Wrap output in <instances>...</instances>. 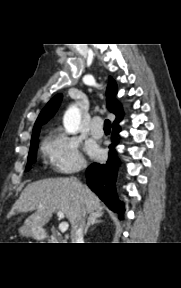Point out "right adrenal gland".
I'll return each instance as SVG.
<instances>
[{
  "label": "right adrenal gland",
  "mask_w": 181,
  "mask_h": 288,
  "mask_svg": "<svg viewBox=\"0 0 181 288\" xmlns=\"http://www.w3.org/2000/svg\"><path fill=\"white\" fill-rule=\"evenodd\" d=\"M103 214H104V212L102 211V209H99L89 216L87 225H86L85 230H84V235L87 234V231L91 225L102 222V220H100L99 218L102 217Z\"/></svg>",
  "instance_id": "1"
}]
</instances>
